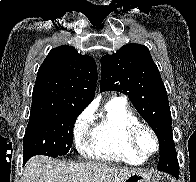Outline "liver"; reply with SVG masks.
Wrapping results in <instances>:
<instances>
[{
  "label": "liver",
  "mask_w": 196,
  "mask_h": 182,
  "mask_svg": "<svg viewBox=\"0 0 196 182\" xmlns=\"http://www.w3.org/2000/svg\"><path fill=\"white\" fill-rule=\"evenodd\" d=\"M138 171L100 163H73L35 156L25 166L22 182H125Z\"/></svg>",
  "instance_id": "1"
}]
</instances>
